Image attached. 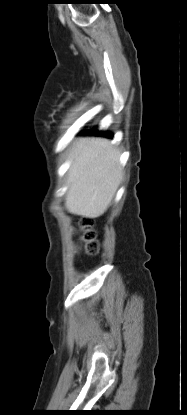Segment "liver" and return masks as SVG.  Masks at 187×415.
<instances>
[{
	"instance_id": "obj_1",
	"label": "liver",
	"mask_w": 187,
	"mask_h": 415,
	"mask_svg": "<svg viewBox=\"0 0 187 415\" xmlns=\"http://www.w3.org/2000/svg\"><path fill=\"white\" fill-rule=\"evenodd\" d=\"M68 172L66 208L85 218L101 216L123 178L120 152L107 139H80L74 143Z\"/></svg>"
}]
</instances>
